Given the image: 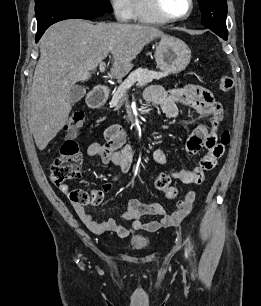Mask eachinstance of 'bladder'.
Instances as JSON below:
<instances>
[{
	"label": "bladder",
	"instance_id": "obj_1",
	"mask_svg": "<svg viewBox=\"0 0 261 306\" xmlns=\"http://www.w3.org/2000/svg\"><path fill=\"white\" fill-rule=\"evenodd\" d=\"M149 244V239L143 235H134L131 238V245L137 249H143Z\"/></svg>",
	"mask_w": 261,
	"mask_h": 306
}]
</instances>
